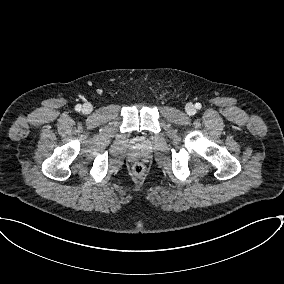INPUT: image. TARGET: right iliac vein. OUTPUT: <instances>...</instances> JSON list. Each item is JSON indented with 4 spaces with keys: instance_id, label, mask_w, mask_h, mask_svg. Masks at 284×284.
Listing matches in <instances>:
<instances>
[{
    "instance_id": "1",
    "label": "right iliac vein",
    "mask_w": 284,
    "mask_h": 284,
    "mask_svg": "<svg viewBox=\"0 0 284 284\" xmlns=\"http://www.w3.org/2000/svg\"><path fill=\"white\" fill-rule=\"evenodd\" d=\"M82 110H83L84 113L88 114L93 110V107H92L91 104L87 103L83 106Z\"/></svg>"
}]
</instances>
